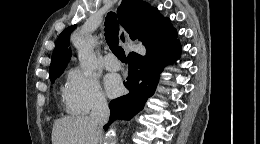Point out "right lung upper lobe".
Returning a JSON list of instances; mask_svg holds the SVG:
<instances>
[{
    "label": "right lung upper lobe",
    "instance_id": "right-lung-upper-lobe-1",
    "mask_svg": "<svg viewBox=\"0 0 260 144\" xmlns=\"http://www.w3.org/2000/svg\"><path fill=\"white\" fill-rule=\"evenodd\" d=\"M117 15L130 38L142 41L146 49L177 35L169 18H164L158 9L141 0H122ZM75 28L76 25L69 26L59 35L52 54L49 74L64 70L70 60L69 35Z\"/></svg>",
    "mask_w": 260,
    "mask_h": 144
}]
</instances>
